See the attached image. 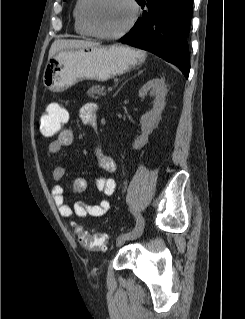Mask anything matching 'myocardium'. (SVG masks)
<instances>
[{"label": "myocardium", "mask_w": 245, "mask_h": 319, "mask_svg": "<svg viewBox=\"0 0 245 319\" xmlns=\"http://www.w3.org/2000/svg\"><path fill=\"white\" fill-rule=\"evenodd\" d=\"M95 0H85V3L83 5L82 8V16H83V21L85 23V25L87 26V28L89 29V31L96 37L101 38V39H106V40H114V39H118L123 37L125 34H127L132 27L135 25L138 16H139V6L136 0H127V2L129 3L131 10H132V14H131V18L128 21V23L119 31L114 32V33H104L100 30H98L95 25L92 23L91 19H90V8L91 5L93 4Z\"/></svg>", "instance_id": "1"}]
</instances>
